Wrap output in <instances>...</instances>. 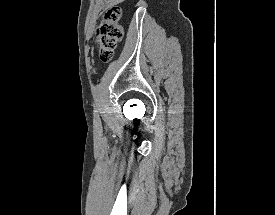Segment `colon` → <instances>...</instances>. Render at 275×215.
<instances>
[{"label":"colon","mask_w":275,"mask_h":215,"mask_svg":"<svg viewBox=\"0 0 275 215\" xmlns=\"http://www.w3.org/2000/svg\"><path fill=\"white\" fill-rule=\"evenodd\" d=\"M122 12L119 6H110L97 29V48L101 61H110L123 37Z\"/></svg>","instance_id":"colon-1"}]
</instances>
